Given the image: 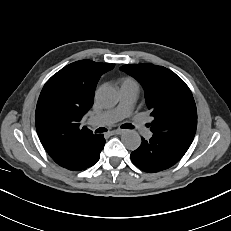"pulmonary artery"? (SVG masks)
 <instances>
[{"mask_svg": "<svg viewBox=\"0 0 231 231\" xmlns=\"http://www.w3.org/2000/svg\"><path fill=\"white\" fill-rule=\"evenodd\" d=\"M139 89L137 87H123L120 90L121 101L119 105L111 110L99 113L88 120L91 126H107L128 116L138 97ZM132 123L140 130L145 138L151 137V132L144 126L139 118L132 119Z\"/></svg>", "mask_w": 231, "mask_h": 231, "instance_id": "1", "label": "pulmonary artery"}]
</instances>
